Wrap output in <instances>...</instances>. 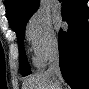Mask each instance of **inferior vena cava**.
Segmentation results:
<instances>
[{
    "label": "inferior vena cava",
    "mask_w": 89,
    "mask_h": 89,
    "mask_svg": "<svg viewBox=\"0 0 89 89\" xmlns=\"http://www.w3.org/2000/svg\"><path fill=\"white\" fill-rule=\"evenodd\" d=\"M47 73L57 77L58 79L61 78V72L59 67V53L57 48L54 49L49 56V66Z\"/></svg>",
    "instance_id": "obj_1"
}]
</instances>
